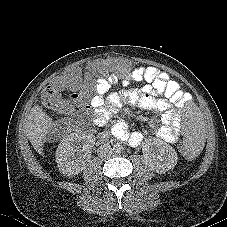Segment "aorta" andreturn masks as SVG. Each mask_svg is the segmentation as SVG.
<instances>
[{
  "mask_svg": "<svg viewBox=\"0 0 227 227\" xmlns=\"http://www.w3.org/2000/svg\"><path fill=\"white\" fill-rule=\"evenodd\" d=\"M115 153H120L123 150V147L120 144H115L113 147Z\"/></svg>",
  "mask_w": 227,
  "mask_h": 227,
  "instance_id": "1",
  "label": "aorta"
}]
</instances>
